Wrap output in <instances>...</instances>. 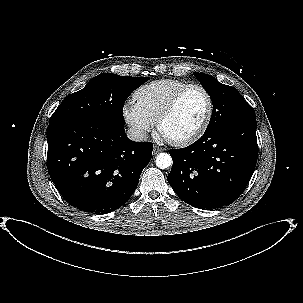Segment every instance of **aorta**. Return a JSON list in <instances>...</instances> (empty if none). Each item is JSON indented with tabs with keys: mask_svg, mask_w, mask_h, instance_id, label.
<instances>
[{
	"mask_svg": "<svg viewBox=\"0 0 303 303\" xmlns=\"http://www.w3.org/2000/svg\"><path fill=\"white\" fill-rule=\"evenodd\" d=\"M172 165V158L168 153H159L156 157V166L166 169Z\"/></svg>",
	"mask_w": 303,
	"mask_h": 303,
	"instance_id": "762f6f07",
	"label": "aorta"
}]
</instances>
